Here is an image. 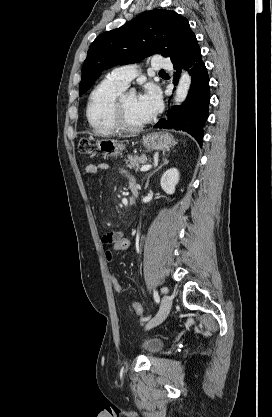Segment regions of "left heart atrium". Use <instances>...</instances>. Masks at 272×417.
<instances>
[{
  "label": "left heart atrium",
  "mask_w": 272,
  "mask_h": 417,
  "mask_svg": "<svg viewBox=\"0 0 272 417\" xmlns=\"http://www.w3.org/2000/svg\"><path fill=\"white\" fill-rule=\"evenodd\" d=\"M138 105L149 119L152 118L162 106L159 89L155 85H147L144 92L138 97Z\"/></svg>",
  "instance_id": "left-heart-atrium-1"
}]
</instances>
